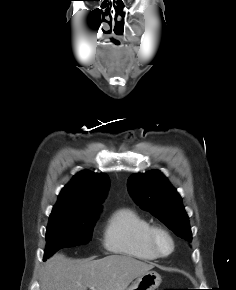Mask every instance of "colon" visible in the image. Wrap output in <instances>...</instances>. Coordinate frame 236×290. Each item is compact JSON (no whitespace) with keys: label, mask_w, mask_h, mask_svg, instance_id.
Returning <instances> with one entry per match:
<instances>
[{"label":"colon","mask_w":236,"mask_h":290,"mask_svg":"<svg viewBox=\"0 0 236 290\" xmlns=\"http://www.w3.org/2000/svg\"><path fill=\"white\" fill-rule=\"evenodd\" d=\"M164 290H178V289H164Z\"/></svg>","instance_id":"1"}]
</instances>
